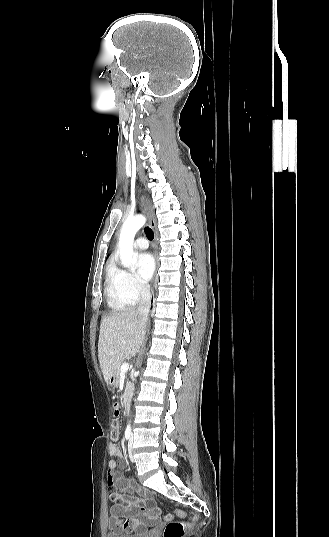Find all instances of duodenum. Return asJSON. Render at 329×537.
<instances>
[{
  "label": "duodenum",
  "instance_id": "1",
  "mask_svg": "<svg viewBox=\"0 0 329 537\" xmlns=\"http://www.w3.org/2000/svg\"><path fill=\"white\" fill-rule=\"evenodd\" d=\"M111 384H113V381L111 382ZM128 407H129V406H128V403L125 401V402H124V408H125L126 410H128Z\"/></svg>",
  "mask_w": 329,
  "mask_h": 537
}]
</instances>
